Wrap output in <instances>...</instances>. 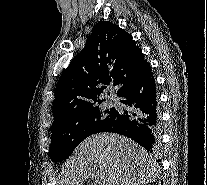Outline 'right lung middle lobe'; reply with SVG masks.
I'll list each match as a JSON object with an SVG mask.
<instances>
[{"mask_svg":"<svg viewBox=\"0 0 207 185\" xmlns=\"http://www.w3.org/2000/svg\"><path fill=\"white\" fill-rule=\"evenodd\" d=\"M116 118L115 108L98 107L51 128L50 158L53 162L66 160L84 139L99 133Z\"/></svg>","mask_w":207,"mask_h":185,"instance_id":"obj_1","label":"right lung middle lobe"}]
</instances>
